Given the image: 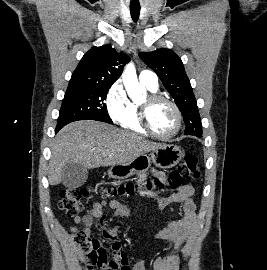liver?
I'll use <instances>...</instances> for the list:
<instances>
[{
    "label": "liver",
    "instance_id": "1",
    "mask_svg": "<svg viewBox=\"0 0 267 270\" xmlns=\"http://www.w3.org/2000/svg\"><path fill=\"white\" fill-rule=\"evenodd\" d=\"M161 146L134 132L99 121H77L63 127L53 140L48 180L54 186L62 182V170L68 163L86 169L114 166Z\"/></svg>",
    "mask_w": 267,
    "mask_h": 270
}]
</instances>
